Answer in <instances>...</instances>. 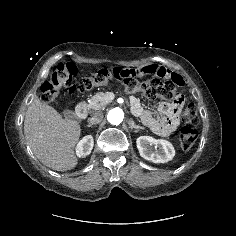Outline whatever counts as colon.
<instances>
[{
	"label": "colon",
	"instance_id": "obj_1",
	"mask_svg": "<svg viewBox=\"0 0 236 236\" xmlns=\"http://www.w3.org/2000/svg\"><path fill=\"white\" fill-rule=\"evenodd\" d=\"M115 69H100L78 81L76 67L71 63H60L52 69L47 80L42 84V100L50 104L56 101L61 90H64L70 95H79L116 80L130 93L141 91L147 98L164 100L172 106H179L182 103L181 91L173 80L162 81L159 78H151L144 82L117 80L113 75ZM181 120L185 124L196 123L198 121V110L196 106L193 104L188 105L181 114ZM197 137V130L185 125L179 134L181 147L184 150L190 149L197 140Z\"/></svg>",
	"mask_w": 236,
	"mask_h": 236
}]
</instances>
